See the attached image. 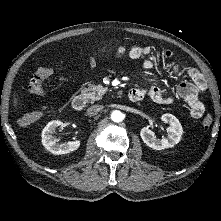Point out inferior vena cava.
<instances>
[{
    "instance_id": "602c4592",
    "label": "inferior vena cava",
    "mask_w": 221,
    "mask_h": 221,
    "mask_svg": "<svg viewBox=\"0 0 221 221\" xmlns=\"http://www.w3.org/2000/svg\"><path fill=\"white\" fill-rule=\"evenodd\" d=\"M102 109V106L101 105H93V106H90L88 109H87V115L88 116H95L98 114V112Z\"/></svg>"
}]
</instances>
